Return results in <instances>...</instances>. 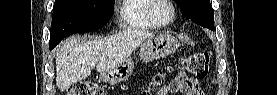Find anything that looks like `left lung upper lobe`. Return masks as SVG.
I'll list each match as a JSON object with an SVG mask.
<instances>
[{
	"mask_svg": "<svg viewBox=\"0 0 277 95\" xmlns=\"http://www.w3.org/2000/svg\"><path fill=\"white\" fill-rule=\"evenodd\" d=\"M186 19L214 30V10L209 0H175Z\"/></svg>",
	"mask_w": 277,
	"mask_h": 95,
	"instance_id": "1",
	"label": "left lung upper lobe"
}]
</instances>
